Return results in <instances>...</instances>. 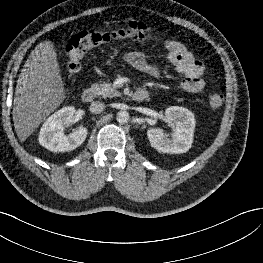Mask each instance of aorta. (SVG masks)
Returning a JSON list of instances; mask_svg holds the SVG:
<instances>
[{"instance_id": "1", "label": "aorta", "mask_w": 263, "mask_h": 263, "mask_svg": "<svg viewBox=\"0 0 263 263\" xmlns=\"http://www.w3.org/2000/svg\"><path fill=\"white\" fill-rule=\"evenodd\" d=\"M116 119L120 124H125L129 121L130 116L127 111H119L117 113Z\"/></svg>"}]
</instances>
